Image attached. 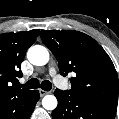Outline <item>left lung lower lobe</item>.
Listing matches in <instances>:
<instances>
[{
    "label": "left lung lower lobe",
    "mask_w": 119,
    "mask_h": 119,
    "mask_svg": "<svg viewBox=\"0 0 119 119\" xmlns=\"http://www.w3.org/2000/svg\"><path fill=\"white\" fill-rule=\"evenodd\" d=\"M58 106L52 111L53 119H114L117 106L89 101L56 89Z\"/></svg>",
    "instance_id": "left-lung-lower-lobe-1"
}]
</instances>
